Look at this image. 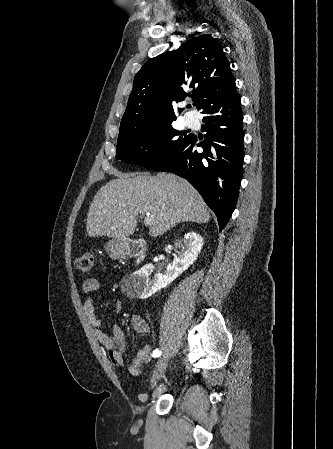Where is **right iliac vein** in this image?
<instances>
[{"mask_svg": "<svg viewBox=\"0 0 333 449\" xmlns=\"http://www.w3.org/2000/svg\"><path fill=\"white\" fill-rule=\"evenodd\" d=\"M167 363H168V360L165 356L158 360L156 367L153 371L152 379H151V387L152 388L156 385V383L160 380V378L164 374L165 369L167 367Z\"/></svg>", "mask_w": 333, "mask_h": 449, "instance_id": "1", "label": "right iliac vein"}]
</instances>
